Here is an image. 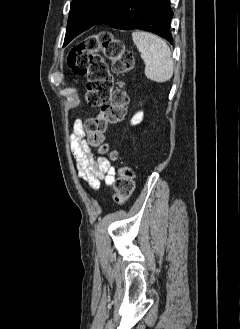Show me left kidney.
Here are the masks:
<instances>
[{"label":"left kidney","mask_w":240,"mask_h":329,"mask_svg":"<svg viewBox=\"0 0 240 329\" xmlns=\"http://www.w3.org/2000/svg\"><path fill=\"white\" fill-rule=\"evenodd\" d=\"M143 119V112H138L136 113L133 118L131 119V124L132 125H136V124H139Z\"/></svg>","instance_id":"1"}]
</instances>
